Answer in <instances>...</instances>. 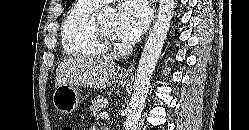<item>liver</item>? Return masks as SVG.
<instances>
[{"label": "liver", "mask_w": 249, "mask_h": 130, "mask_svg": "<svg viewBox=\"0 0 249 130\" xmlns=\"http://www.w3.org/2000/svg\"><path fill=\"white\" fill-rule=\"evenodd\" d=\"M120 67L108 59L76 57L62 61L56 69L55 87L73 85L103 89L110 86Z\"/></svg>", "instance_id": "6515ba94"}]
</instances>
